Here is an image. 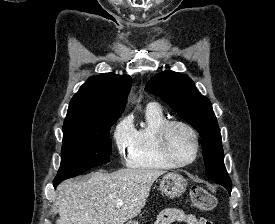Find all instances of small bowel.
<instances>
[{
    "label": "small bowel",
    "instance_id": "c3829d8e",
    "mask_svg": "<svg viewBox=\"0 0 275 224\" xmlns=\"http://www.w3.org/2000/svg\"><path fill=\"white\" fill-rule=\"evenodd\" d=\"M175 222H183L185 224H212L204 217L198 218L191 213H186L176 208L162 210L159 213L155 224H173Z\"/></svg>",
    "mask_w": 275,
    "mask_h": 224
}]
</instances>
